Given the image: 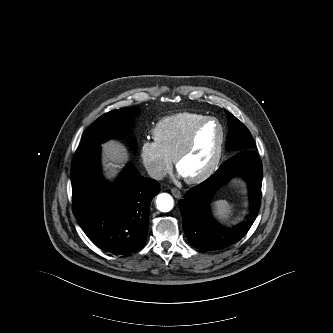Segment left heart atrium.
Returning <instances> with one entry per match:
<instances>
[{
  "label": "left heart atrium",
  "mask_w": 333,
  "mask_h": 333,
  "mask_svg": "<svg viewBox=\"0 0 333 333\" xmlns=\"http://www.w3.org/2000/svg\"><path fill=\"white\" fill-rule=\"evenodd\" d=\"M179 176H182V174L179 172Z\"/></svg>",
  "instance_id": "left-heart-atrium-1"
}]
</instances>
